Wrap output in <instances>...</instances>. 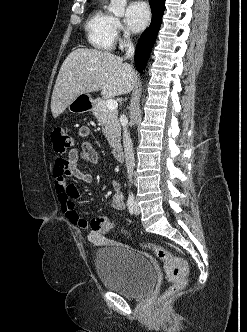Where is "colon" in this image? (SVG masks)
I'll return each mask as SVG.
<instances>
[{"mask_svg": "<svg viewBox=\"0 0 247 332\" xmlns=\"http://www.w3.org/2000/svg\"><path fill=\"white\" fill-rule=\"evenodd\" d=\"M51 139L55 152L60 155L69 152L74 146L72 136L62 127L53 129ZM91 229L94 232L109 233L115 229V225L110 219L100 217L91 221ZM142 246L164 262V269L171 284L162 294L161 300H167L183 290L187 285V262L159 245L143 243Z\"/></svg>", "mask_w": 247, "mask_h": 332, "instance_id": "5ec220e1", "label": "colon"}]
</instances>
